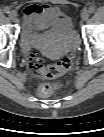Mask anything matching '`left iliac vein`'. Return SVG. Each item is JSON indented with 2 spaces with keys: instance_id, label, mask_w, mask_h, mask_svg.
<instances>
[{
  "instance_id": "1",
  "label": "left iliac vein",
  "mask_w": 104,
  "mask_h": 137,
  "mask_svg": "<svg viewBox=\"0 0 104 137\" xmlns=\"http://www.w3.org/2000/svg\"><path fill=\"white\" fill-rule=\"evenodd\" d=\"M81 18H82L83 21L88 20V18H89V11L84 10V11L82 12V14H81Z\"/></svg>"
}]
</instances>
